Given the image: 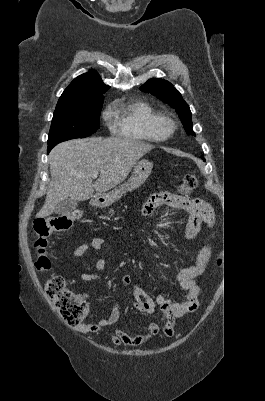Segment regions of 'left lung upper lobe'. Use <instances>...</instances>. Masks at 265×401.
I'll list each match as a JSON object with an SVG mask.
<instances>
[{"mask_svg":"<svg viewBox=\"0 0 265 401\" xmlns=\"http://www.w3.org/2000/svg\"><path fill=\"white\" fill-rule=\"evenodd\" d=\"M140 89L146 93H150L156 96L163 102L169 104L172 108H175L176 112L179 114L185 130H187L188 133L195 135L192 130L190 108L188 104L183 100L179 91H177L170 82L164 79L153 78L142 85Z\"/></svg>","mask_w":265,"mask_h":401,"instance_id":"left-lung-upper-lobe-1","label":"left lung upper lobe"}]
</instances>
